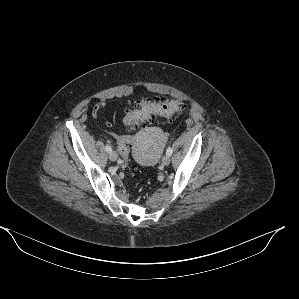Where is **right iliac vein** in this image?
I'll return each instance as SVG.
<instances>
[{
	"instance_id": "1",
	"label": "right iliac vein",
	"mask_w": 299,
	"mask_h": 299,
	"mask_svg": "<svg viewBox=\"0 0 299 299\" xmlns=\"http://www.w3.org/2000/svg\"><path fill=\"white\" fill-rule=\"evenodd\" d=\"M109 159L113 162H115L118 159V154L114 151L109 153Z\"/></svg>"
}]
</instances>
